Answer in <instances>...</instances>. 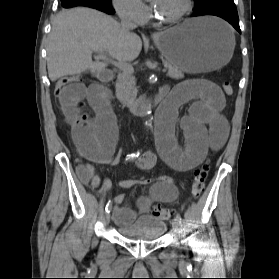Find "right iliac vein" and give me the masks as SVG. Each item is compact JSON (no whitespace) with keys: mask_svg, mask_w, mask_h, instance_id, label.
Wrapping results in <instances>:
<instances>
[{"mask_svg":"<svg viewBox=\"0 0 279 279\" xmlns=\"http://www.w3.org/2000/svg\"><path fill=\"white\" fill-rule=\"evenodd\" d=\"M110 219H111L110 212H106V214H105V218H104V222H105V224H106V225H108V224H109Z\"/></svg>","mask_w":279,"mask_h":279,"instance_id":"1","label":"right iliac vein"}]
</instances>
